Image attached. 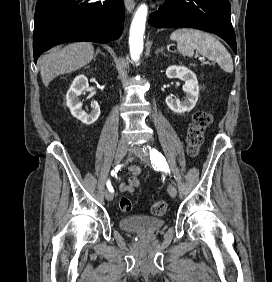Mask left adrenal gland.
I'll list each match as a JSON object with an SVG mask.
<instances>
[{
  "instance_id": "1",
  "label": "left adrenal gland",
  "mask_w": 272,
  "mask_h": 282,
  "mask_svg": "<svg viewBox=\"0 0 272 282\" xmlns=\"http://www.w3.org/2000/svg\"><path fill=\"white\" fill-rule=\"evenodd\" d=\"M158 53H161V54L164 55L165 57H168V56H169V55H167V54L164 52L163 47H159V48L156 50L155 54H158Z\"/></svg>"
}]
</instances>
